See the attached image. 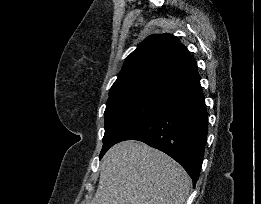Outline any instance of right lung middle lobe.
<instances>
[{
	"label": "right lung middle lobe",
	"mask_w": 261,
	"mask_h": 204,
	"mask_svg": "<svg viewBox=\"0 0 261 204\" xmlns=\"http://www.w3.org/2000/svg\"><path fill=\"white\" fill-rule=\"evenodd\" d=\"M167 93L130 91L109 96L104 112L105 134L100 158L133 125L158 105Z\"/></svg>",
	"instance_id": "dd1d6c3e"
}]
</instances>
